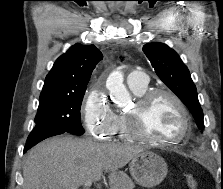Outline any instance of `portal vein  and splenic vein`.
Here are the masks:
<instances>
[{
    "label": "portal vein and splenic vein",
    "mask_w": 223,
    "mask_h": 189,
    "mask_svg": "<svg viewBox=\"0 0 223 189\" xmlns=\"http://www.w3.org/2000/svg\"><path fill=\"white\" fill-rule=\"evenodd\" d=\"M92 180H88V181H86L85 183H84V186H85V188L86 189H89L90 187H91V185H92Z\"/></svg>",
    "instance_id": "18ae733b"
}]
</instances>
